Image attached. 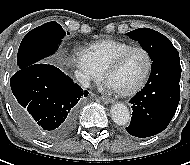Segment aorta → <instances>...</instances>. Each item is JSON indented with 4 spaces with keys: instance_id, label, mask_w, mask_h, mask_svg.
<instances>
[{
    "instance_id": "1",
    "label": "aorta",
    "mask_w": 190,
    "mask_h": 165,
    "mask_svg": "<svg viewBox=\"0 0 190 165\" xmlns=\"http://www.w3.org/2000/svg\"><path fill=\"white\" fill-rule=\"evenodd\" d=\"M111 116L117 125H126L131 119L128 107L122 103H117L112 106Z\"/></svg>"
}]
</instances>
